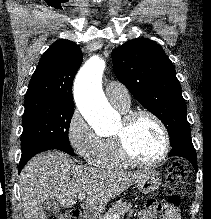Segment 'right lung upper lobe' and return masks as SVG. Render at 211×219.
<instances>
[{
    "instance_id": "obj_1",
    "label": "right lung upper lobe",
    "mask_w": 211,
    "mask_h": 219,
    "mask_svg": "<svg viewBox=\"0 0 211 219\" xmlns=\"http://www.w3.org/2000/svg\"><path fill=\"white\" fill-rule=\"evenodd\" d=\"M83 60L80 47L58 40L42 55L25 94V102L47 100L72 105V83Z\"/></svg>"
}]
</instances>
